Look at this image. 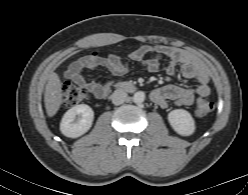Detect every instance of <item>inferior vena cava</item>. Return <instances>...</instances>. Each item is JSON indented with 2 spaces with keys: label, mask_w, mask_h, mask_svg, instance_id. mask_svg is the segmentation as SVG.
Segmentation results:
<instances>
[{
  "label": "inferior vena cava",
  "mask_w": 248,
  "mask_h": 195,
  "mask_svg": "<svg viewBox=\"0 0 248 195\" xmlns=\"http://www.w3.org/2000/svg\"><path fill=\"white\" fill-rule=\"evenodd\" d=\"M111 99L114 105H120L127 99V93L123 89H117L111 95Z\"/></svg>",
  "instance_id": "inferior-vena-cava-1"
}]
</instances>
